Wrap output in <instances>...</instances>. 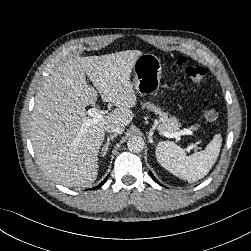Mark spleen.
<instances>
[{
  "label": "spleen",
  "mask_w": 251,
  "mask_h": 251,
  "mask_svg": "<svg viewBox=\"0 0 251 251\" xmlns=\"http://www.w3.org/2000/svg\"><path fill=\"white\" fill-rule=\"evenodd\" d=\"M222 137L216 134L205 150L186 156L184 149L170 141L156 147L157 161L173 175L193 183L208 174L220 153Z\"/></svg>",
  "instance_id": "1"
}]
</instances>
